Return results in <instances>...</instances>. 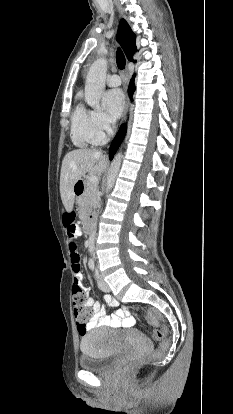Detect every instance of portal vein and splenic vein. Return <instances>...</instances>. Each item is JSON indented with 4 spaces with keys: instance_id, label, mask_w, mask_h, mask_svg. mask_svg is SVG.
<instances>
[{
    "instance_id": "portal-vein-and-splenic-vein-1",
    "label": "portal vein and splenic vein",
    "mask_w": 233,
    "mask_h": 414,
    "mask_svg": "<svg viewBox=\"0 0 233 414\" xmlns=\"http://www.w3.org/2000/svg\"><path fill=\"white\" fill-rule=\"evenodd\" d=\"M89 182H90L91 184L97 185V184H98V182H99V179H98V177H97V176H95V175H90V177H89Z\"/></svg>"
}]
</instances>
